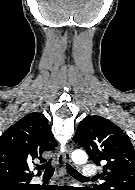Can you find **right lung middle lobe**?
Wrapping results in <instances>:
<instances>
[{
  "label": "right lung middle lobe",
  "mask_w": 135,
  "mask_h": 190,
  "mask_svg": "<svg viewBox=\"0 0 135 190\" xmlns=\"http://www.w3.org/2000/svg\"><path fill=\"white\" fill-rule=\"evenodd\" d=\"M0 190H31L28 184H21L19 181L0 182Z\"/></svg>",
  "instance_id": "right-lung-middle-lobe-1"
}]
</instances>
